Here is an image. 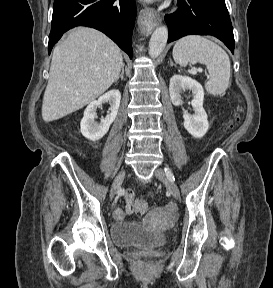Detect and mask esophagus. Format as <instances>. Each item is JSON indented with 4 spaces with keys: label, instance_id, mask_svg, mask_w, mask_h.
<instances>
[{
    "label": "esophagus",
    "instance_id": "obj_1",
    "mask_svg": "<svg viewBox=\"0 0 273 288\" xmlns=\"http://www.w3.org/2000/svg\"><path fill=\"white\" fill-rule=\"evenodd\" d=\"M161 22L162 18L154 8L145 7L139 12L138 25L143 33L151 32Z\"/></svg>",
    "mask_w": 273,
    "mask_h": 288
}]
</instances>
